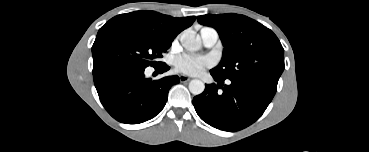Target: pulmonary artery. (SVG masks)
I'll return each instance as SVG.
<instances>
[{
	"instance_id": "pulmonary-artery-1",
	"label": "pulmonary artery",
	"mask_w": 369,
	"mask_h": 152,
	"mask_svg": "<svg viewBox=\"0 0 369 152\" xmlns=\"http://www.w3.org/2000/svg\"><path fill=\"white\" fill-rule=\"evenodd\" d=\"M199 37L206 47H213L219 39L218 32L211 27H203L200 30Z\"/></svg>"
}]
</instances>
